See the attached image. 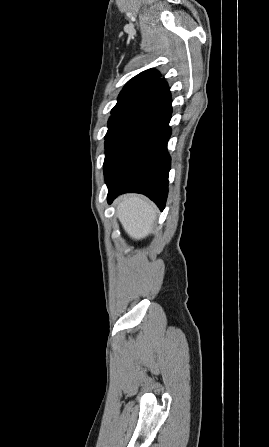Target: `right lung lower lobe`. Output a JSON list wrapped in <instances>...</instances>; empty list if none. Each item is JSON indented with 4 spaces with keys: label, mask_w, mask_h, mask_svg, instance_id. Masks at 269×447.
I'll return each instance as SVG.
<instances>
[{
    "label": "right lung lower lobe",
    "mask_w": 269,
    "mask_h": 447,
    "mask_svg": "<svg viewBox=\"0 0 269 447\" xmlns=\"http://www.w3.org/2000/svg\"><path fill=\"white\" fill-rule=\"evenodd\" d=\"M171 113L168 90L115 127L105 142L108 203L122 193L137 192L148 196L161 211L164 209L171 165L167 151Z\"/></svg>",
    "instance_id": "right-lung-lower-lobe-1"
}]
</instances>
